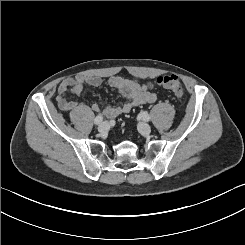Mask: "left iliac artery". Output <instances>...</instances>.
I'll return each mask as SVG.
<instances>
[{
    "label": "left iliac artery",
    "mask_w": 245,
    "mask_h": 245,
    "mask_svg": "<svg viewBox=\"0 0 245 245\" xmlns=\"http://www.w3.org/2000/svg\"><path fill=\"white\" fill-rule=\"evenodd\" d=\"M140 116L143 118V120L150 121V116L148 115L147 112H141Z\"/></svg>",
    "instance_id": "1"
}]
</instances>
